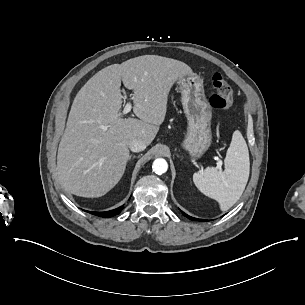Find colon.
Segmentation results:
<instances>
[{
	"label": "colon",
	"instance_id": "colon-1",
	"mask_svg": "<svg viewBox=\"0 0 305 305\" xmlns=\"http://www.w3.org/2000/svg\"><path fill=\"white\" fill-rule=\"evenodd\" d=\"M214 94L210 96L209 103L214 109H227L233 104V93L229 83L220 72H214L210 77Z\"/></svg>",
	"mask_w": 305,
	"mask_h": 305
}]
</instances>
